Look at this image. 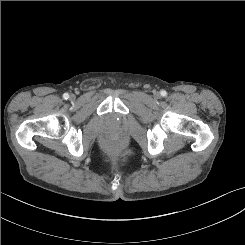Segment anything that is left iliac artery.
<instances>
[{"label": "left iliac artery", "instance_id": "left-iliac-artery-1", "mask_svg": "<svg viewBox=\"0 0 245 245\" xmlns=\"http://www.w3.org/2000/svg\"><path fill=\"white\" fill-rule=\"evenodd\" d=\"M161 95H162V96H165V95H166V91H164V90L161 91Z\"/></svg>", "mask_w": 245, "mask_h": 245}]
</instances>
